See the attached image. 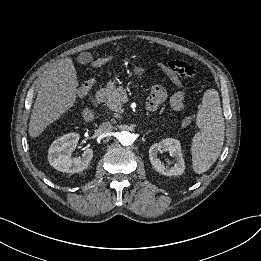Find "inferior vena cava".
<instances>
[{
    "label": "inferior vena cava",
    "instance_id": "602c4592",
    "mask_svg": "<svg viewBox=\"0 0 261 261\" xmlns=\"http://www.w3.org/2000/svg\"><path fill=\"white\" fill-rule=\"evenodd\" d=\"M113 126L110 122H103L100 127H99V131L100 133H107L112 131Z\"/></svg>",
    "mask_w": 261,
    "mask_h": 261
}]
</instances>
